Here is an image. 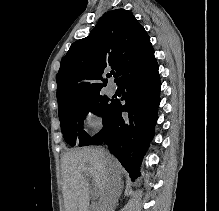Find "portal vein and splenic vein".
<instances>
[{
  "label": "portal vein and splenic vein",
  "instance_id": "portal-vein-and-splenic-vein-1",
  "mask_svg": "<svg viewBox=\"0 0 219 211\" xmlns=\"http://www.w3.org/2000/svg\"><path fill=\"white\" fill-rule=\"evenodd\" d=\"M93 195H95V197H99V195H97V193H96L95 187H93Z\"/></svg>",
  "mask_w": 219,
  "mask_h": 211
}]
</instances>
